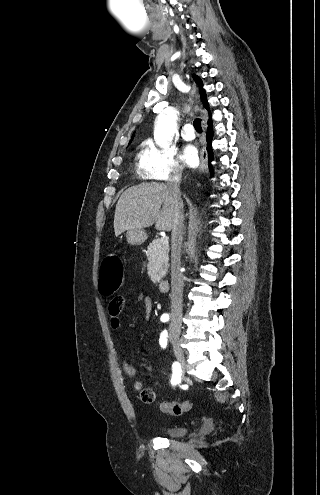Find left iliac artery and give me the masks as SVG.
<instances>
[{"label": "left iliac artery", "mask_w": 320, "mask_h": 495, "mask_svg": "<svg viewBox=\"0 0 320 495\" xmlns=\"http://www.w3.org/2000/svg\"><path fill=\"white\" fill-rule=\"evenodd\" d=\"M167 337H168V333L166 330H164L161 335H160V339H159V343L161 345L162 348H165L166 345H167Z\"/></svg>", "instance_id": "1"}]
</instances>
